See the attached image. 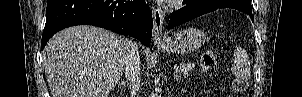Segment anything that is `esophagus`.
<instances>
[{
  "mask_svg": "<svg viewBox=\"0 0 302 97\" xmlns=\"http://www.w3.org/2000/svg\"><path fill=\"white\" fill-rule=\"evenodd\" d=\"M153 15V33L152 39L154 43H161L166 40V36L163 32V23H164V12L158 8L152 7Z\"/></svg>",
  "mask_w": 302,
  "mask_h": 97,
  "instance_id": "1",
  "label": "esophagus"
}]
</instances>
